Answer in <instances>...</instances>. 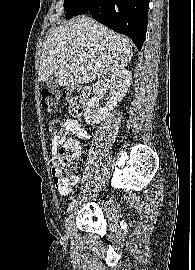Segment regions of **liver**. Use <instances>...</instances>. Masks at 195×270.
Masks as SVG:
<instances>
[{"mask_svg": "<svg viewBox=\"0 0 195 270\" xmlns=\"http://www.w3.org/2000/svg\"><path fill=\"white\" fill-rule=\"evenodd\" d=\"M130 41L86 16H79L47 35L39 81L55 75L60 86L89 83L125 68L132 59Z\"/></svg>", "mask_w": 195, "mask_h": 270, "instance_id": "1", "label": "liver"}]
</instances>
